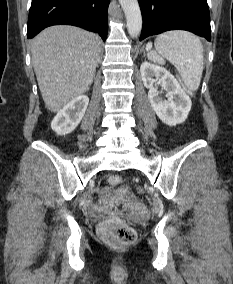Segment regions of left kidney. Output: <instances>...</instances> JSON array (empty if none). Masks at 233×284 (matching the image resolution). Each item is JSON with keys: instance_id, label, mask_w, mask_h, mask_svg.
<instances>
[{"instance_id": "1", "label": "left kidney", "mask_w": 233, "mask_h": 284, "mask_svg": "<svg viewBox=\"0 0 233 284\" xmlns=\"http://www.w3.org/2000/svg\"><path fill=\"white\" fill-rule=\"evenodd\" d=\"M143 84L148 91V99L151 107L159 119L169 126L183 123L191 109V99L181 88L176 78L164 67L144 62L140 67ZM161 84L167 92V99L160 96V92L154 88V82Z\"/></svg>"}]
</instances>
